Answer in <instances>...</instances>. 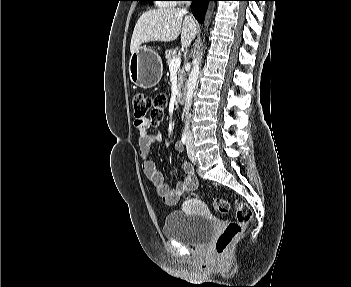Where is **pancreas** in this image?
I'll list each match as a JSON object with an SVG mask.
<instances>
[{"label":"pancreas","instance_id":"cf45deb5","mask_svg":"<svg viewBox=\"0 0 351 287\" xmlns=\"http://www.w3.org/2000/svg\"><path fill=\"white\" fill-rule=\"evenodd\" d=\"M165 58L167 60V64L170 65L171 61L174 58H177V51L176 50H166L165 51ZM178 82H179V86L183 82V71L180 69L178 70Z\"/></svg>","mask_w":351,"mask_h":287}]
</instances>
